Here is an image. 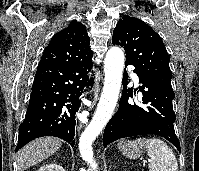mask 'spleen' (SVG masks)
I'll use <instances>...</instances> for the list:
<instances>
[{
	"label": "spleen",
	"mask_w": 199,
	"mask_h": 171,
	"mask_svg": "<svg viewBox=\"0 0 199 171\" xmlns=\"http://www.w3.org/2000/svg\"><path fill=\"white\" fill-rule=\"evenodd\" d=\"M133 145L146 146L150 157L149 171H178V163L173 150L158 138H138Z\"/></svg>",
	"instance_id": "1"
}]
</instances>
